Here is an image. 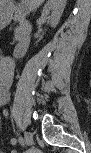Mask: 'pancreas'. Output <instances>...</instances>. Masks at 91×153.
Here are the masks:
<instances>
[{
	"label": "pancreas",
	"mask_w": 91,
	"mask_h": 153,
	"mask_svg": "<svg viewBox=\"0 0 91 153\" xmlns=\"http://www.w3.org/2000/svg\"><path fill=\"white\" fill-rule=\"evenodd\" d=\"M18 31H19V28L15 30V37L17 36Z\"/></svg>",
	"instance_id": "obj_1"
}]
</instances>
